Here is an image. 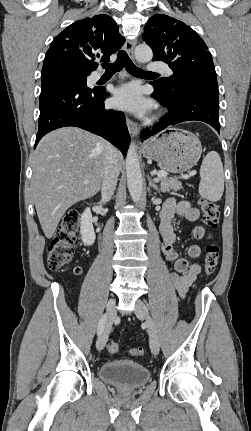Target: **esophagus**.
Returning <instances> with one entry per match:
<instances>
[{"label": "esophagus", "mask_w": 251, "mask_h": 431, "mask_svg": "<svg viewBox=\"0 0 251 431\" xmlns=\"http://www.w3.org/2000/svg\"><path fill=\"white\" fill-rule=\"evenodd\" d=\"M136 45V40H126L125 42V50L128 55L133 58L134 57V48ZM126 124L128 130L132 137H137L139 134V127L136 122L132 121L130 118H126Z\"/></svg>", "instance_id": "34e87169"}]
</instances>
